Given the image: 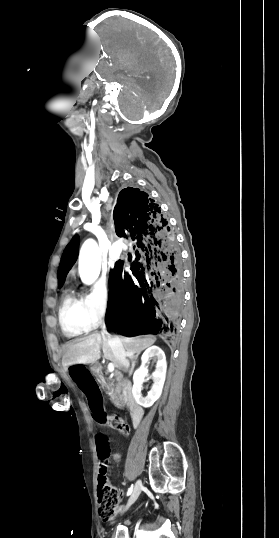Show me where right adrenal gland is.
Segmentation results:
<instances>
[{"label":"right adrenal gland","instance_id":"right-adrenal-gland-1","mask_svg":"<svg viewBox=\"0 0 279 538\" xmlns=\"http://www.w3.org/2000/svg\"><path fill=\"white\" fill-rule=\"evenodd\" d=\"M135 358H137V356H135ZM134 366H135V364H134V362H133V364H132V366H131V372H132Z\"/></svg>","mask_w":279,"mask_h":538}]
</instances>
